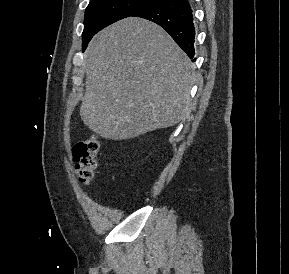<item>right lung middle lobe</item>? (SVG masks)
Returning a JSON list of instances; mask_svg holds the SVG:
<instances>
[{"label":"right lung middle lobe","mask_w":289,"mask_h":274,"mask_svg":"<svg viewBox=\"0 0 289 274\" xmlns=\"http://www.w3.org/2000/svg\"><path fill=\"white\" fill-rule=\"evenodd\" d=\"M160 1L162 0H91L85 12L83 51L91 38L101 29Z\"/></svg>","instance_id":"1"}]
</instances>
